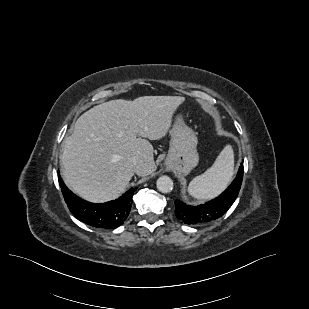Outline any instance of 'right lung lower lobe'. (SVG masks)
Masks as SVG:
<instances>
[{"mask_svg": "<svg viewBox=\"0 0 309 309\" xmlns=\"http://www.w3.org/2000/svg\"><path fill=\"white\" fill-rule=\"evenodd\" d=\"M61 191L70 212L80 221L96 228H116L123 224L128 217L134 191L131 188L120 198L103 204L87 202L73 194L58 177Z\"/></svg>", "mask_w": 309, "mask_h": 309, "instance_id": "obj_1", "label": "right lung lower lobe"}]
</instances>
